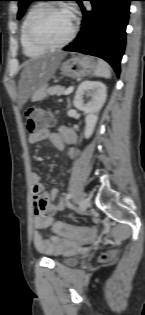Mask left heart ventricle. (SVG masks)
<instances>
[{
    "label": "left heart ventricle",
    "instance_id": "left-heart-ventricle-1",
    "mask_svg": "<svg viewBox=\"0 0 145 315\" xmlns=\"http://www.w3.org/2000/svg\"><path fill=\"white\" fill-rule=\"evenodd\" d=\"M73 24L72 15L64 10H52L43 14L35 24V35L41 41L57 43L69 34Z\"/></svg>",
    "mask_w": 145,
    "mask_h": 315
}]
</instances>
